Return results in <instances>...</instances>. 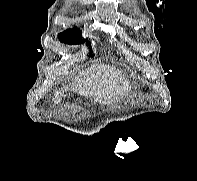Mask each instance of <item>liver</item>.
Returning <instances> with one entry per match:
<instances>
[{
  "label": "liver",
  "instance_id": "1",
  "mask_svg": "<svg viewBox=\"0 0 197 181\" xmlns=\"http://www.w3.org/2000/svg\"><path fill=\"white\" fill-rule=\"evenodd\" d=\"M130 82L121 71L105 64H94L80 72L74 82L73 90L78 94L94 99L100 104H110L130 92ZM61 101L60 92L55 94V103Z\"/></svg>",
  "mask_w": 197,
  "mask_h": 181
}]
</instances>
